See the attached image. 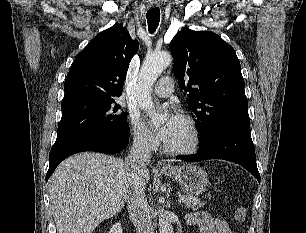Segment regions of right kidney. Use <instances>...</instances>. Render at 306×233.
Instances as JSON below:
<instances>
[{"label": "right kidney", "mask_w": 306, "mask_h": 233, "mask_svg": "<svg viewBox=\"0 0 306 233\" xmlns=\"http://www.w3.org/2000/svg\"><path fill=\"white\" fill-rule=\"evenodd\" d=\"M109 233H122V228L120 223H116L112 226Z\"/></svg>", "instance_id": "obj_1"}]
</instances>
